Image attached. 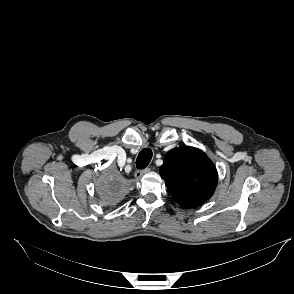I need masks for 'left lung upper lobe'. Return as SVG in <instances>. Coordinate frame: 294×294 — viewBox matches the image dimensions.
<instances>
[{"label": "left lung upper lobe", "mask_w": 294, "mask_h": 294, "mask_svg": "<svg viewBox=\"0 0 294 294\" xmlns=\"http://www.w3.org/2000/svg\"><path fill=\"white\" fill-rule=\"evenodd\" d=\"M160 174L173 199L183 208L203 204L213 195L218 180L217 170L206 154L188 146L170 150Z\"/></svg>", "instance_id": "5c2ea615"}]
</instances>
